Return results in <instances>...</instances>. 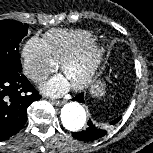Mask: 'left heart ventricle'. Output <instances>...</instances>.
<instances>
[{
	"mask_svg": "<svg viewBox=\"0 0 153 153\" xmlns=\"http://www.w3.org/2000/svg\"><path fill=\"white\" fill-rule=\"evenodd\" d=\"M82 75H83V68L81 66L71 67L65 74L70 84H73L77 82L78 80H80Z\"/></svg>",
	"mask_w": 153,
	"mask_h": 153,
	"instance_id": "b2bd125f",
	"label": "left heart ventricle"
}]
</instances>
